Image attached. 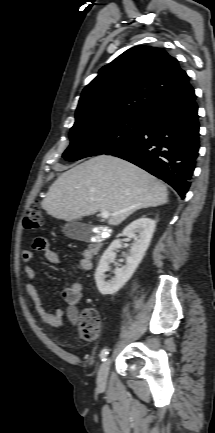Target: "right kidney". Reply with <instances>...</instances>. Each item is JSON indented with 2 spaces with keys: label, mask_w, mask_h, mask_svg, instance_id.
I'll list each match as a JSON object with an SVG mask.
<instances>
[{
  "label": "right kidney",
  "mask_w": 215,
  "mask_h": 433,
  "mask_svg": "<svg viewBox=\"0 0 215 433\" xmlns=\"http://www.w3.org/2000/svg\"><path fill=\"white\" fill-rule=\"evenodd\" d=\"M155 227L156 222L153 219L143 216L123 230V236L134 238V243L126 258V265L117 268L115 276L110 281L105 280V272L109 264L115 260L116 251L122 247L121 241L114 240L105 250L95 273L96 285L102 295L115 294L131 278L149 247Z\"/></svg>",
  "instance_id": "1"
}]
</instances>
